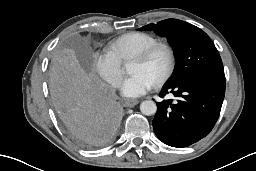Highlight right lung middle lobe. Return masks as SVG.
<instances>
[{
	"instance_id": "1",
	"label": "right lung middle lobe",
	"mask_w": 256,
	"mask_h": 171,
	"mask_svg": "<svg viewBox=\"0 0 256 171\" xmlns=\"http://www.w3.org/2000/svg\"><path fill=\"white\" fill-rule=\"evenodd\" d=\"M73 84L67 82V80H61V78H54L51 84V92L54 103L61 99H65L71 95Z\"/></svg>"
}]
</instances>
